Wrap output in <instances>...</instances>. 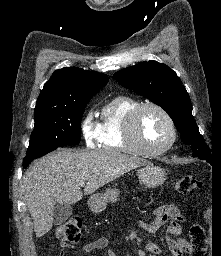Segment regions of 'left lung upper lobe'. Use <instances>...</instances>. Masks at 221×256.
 Masks as SVG:
<instances>
[{
    "mask_svg": "<svg viewBox=\"0 0 221 256\" xmlns=\"http://www.w3.org/2000/svg\"><path fill=\"white\" fill-rule=\"evenodd\" d=\"M120 85L135 90L162 107L182 134L194 157L211 160L210 147L204 142L192 116L189 95L176 72L157 61L141 62L114 74Z\"/></svg>",
    "mask_w": 221,
    "mask_h": 256,
    "instance_id": "5c2ea615",
    "label": "left lung upper lobe"
}]
</instances>
